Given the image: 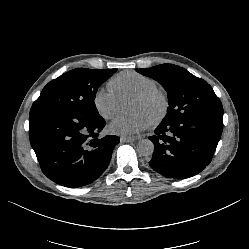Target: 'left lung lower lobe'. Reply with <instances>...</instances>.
I'll return each instance as SVG.
<instances>
[{
	"label": "left lung lower lobe",
	"instance_id": "obj_1",
	"mask_svg": "<svg viewBox=\"0 0 249 249\" xmlns=\"http://www.w3.org/2000/svg\"><path fill=\"white\" fill-rule=\"evenodd\" d=\"M222 128L223 114L161 122L149 137L155 147L149 165L167 178L184 179L198 174L211 162Z\"/></svg>",
	"mask_w": 249,
	"mask_h": 249
}]
</instances>
